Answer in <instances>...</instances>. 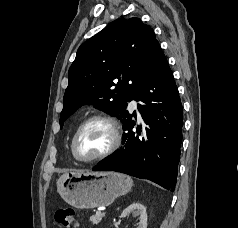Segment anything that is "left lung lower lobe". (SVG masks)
Segmentation results:
<instances>
[{
	"label": "left lung lower lobe",
	"mask_w": 238,
	"mask_h": 228,
	"mask_svg": "<svg viewBox=\"0 0 238 228\" xmlns=\"http://www.w3.org/2000/svg\"><path fill=\"white\" fill-rule=\"evenodd\" d=\"M144 127L136 132V113L124 121L123 145L94 171H117L151 180L173 191L182 141V104L173 73L159 48L142 76L134 98ZM142 132V135H141Z\"/></svg>",
	"instance_id": "0a47b994"
}]
</instances>
